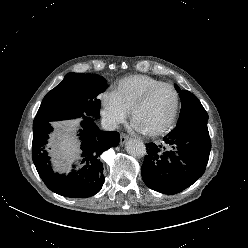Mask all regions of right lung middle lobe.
I'll return each instance as SVG.
<instances>
[{
	"instance_id": "right-lung-middle-lobe-1",
	"label": "right lung middle lobe",
	"mask_w": 248,
	"mask_h": 248,
	"mask_svg": "<svg viewBox=\"0 0 248 248\" xmlns=\"http://www.w3.org/2000/svg\"><path fill=\"white\" fill-rule=\"evenodd\" d=\"M107 87L97 74L68 73L43 99L33 123L86 116L99 118L101 103L97 96Z\"/></svg>"
}]
</instances>
